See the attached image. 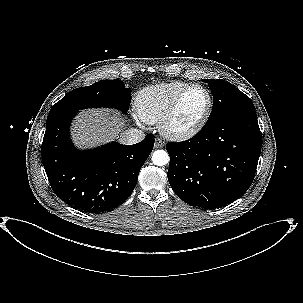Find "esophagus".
I'll return each instance as SVG.
<instances>
[{"instance_id": "1", "label": "esophagus", "mask_w": 303, "mask_h": 303, "mask_svg": "<svg viewBox=\"0 0 303 303\" xmlns=\"http://www.w3.org/2000/svg\"><path fill=\"white\" fill-rule=\"evenodd\" d=\"M164 146H165V142L162 139L160 138L155 139V143H154L155 148H163Z\"/></svg>"}]
</instances>
